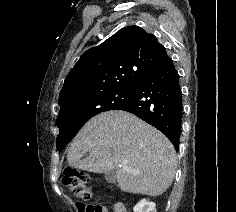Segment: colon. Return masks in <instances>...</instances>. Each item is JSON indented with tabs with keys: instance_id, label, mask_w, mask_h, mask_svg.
<instances>
[{
	"instance_id": "colon-1",
	"label": "colon",
	"mask_w": 236,
	"mask_h": 212,
	"mask_svg": "<svg viewBox=\"0 0 236 212\" xmlns=\"http://www.w3.org/2000/svg\"><path fill=\"white\" fill-rule=\"evenodd\" d=\"M62 181L67 190L78 200L90 202L94 199L89 176L74 170H67ZM105 208L99 204H83L80 206V212H104Z\"/></svg>"
}]
</instances>
